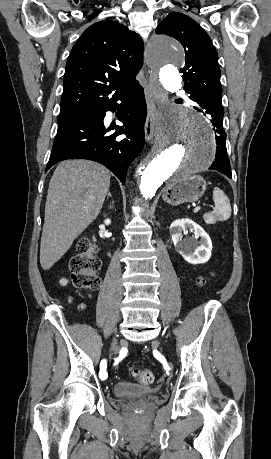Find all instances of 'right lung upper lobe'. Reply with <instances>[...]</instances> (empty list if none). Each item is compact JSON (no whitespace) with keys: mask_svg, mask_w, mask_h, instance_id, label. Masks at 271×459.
I'll return each instance as SVG.
<instances>
[{"mask_svg":"<svg viewBox=\"0 0 271 459\" xmlns=\"http://www.w3.org/2000/svg\"><path fill=\"white\" fill-rule=\"evenodd\" d=\"M143 64L141 37L116 21L87 28L74 44L64 75L60 112L101 106L138 84Z\"/></svg>","mask_w":271,"mask_h":459,"instance_id":"right-lung-upper-lobe-1","label":"right lung upper lobe"}]
</instances>
